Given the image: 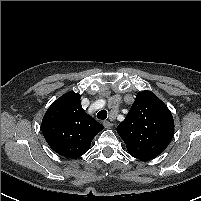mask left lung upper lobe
<instances>
[{"label": "left lung upper lobe", "mask_w": 201, "mask_h": 201, "mask_svg": "<svg viewBox=\"0 0 201 201\" xmlns=\"http://www.w3.org/2000/svg\"><path fill=\"white\" fill-rule=\"evenodd\" d=\"M117 132L129 154L149 160L161 154L174 135V121L167 106L151 91L137 94Z\"/></svg>", "instance_id": "5c2ea615"}]
</instances>
